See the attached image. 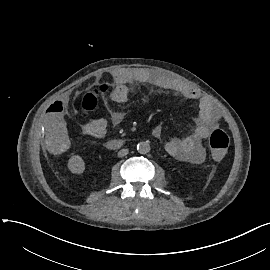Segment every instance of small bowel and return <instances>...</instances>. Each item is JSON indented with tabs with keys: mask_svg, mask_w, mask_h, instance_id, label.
Returning <instances> with one entry per match:
<instances>
[{
	"mask_svg": "<svg viewBox=\"0 0 270 270\" xmlns=\"http://www.w3.org/2000/svg\"><path fill=\"white\" fill-rule=\"evenodd\" d=\"M114 86L109 98L119 104L127 101L129 96L128 85L133 82L148 84L156 88L169 90L180 94L189 100L198 101L199 113L196 120V128L189 135L182 138H173L166 144V150L172 156L185 159L192 164L199 165L205 161L206 151L202 141L209 135L217 124L219 116L210 101L200 97L199 93L170 78L162 72L148 68H127L116 72L113 76ZM67 112L63 105L55 103L48 107L45 115L47 134L51 141L46 145L45 151L49 158L57 160L64 156L69 146L66 138L68 125L66 122ZM123 115L118 111L111 112V125L121 124ZM86 134L95 138L106 136L110 129L109 123L102 117H94L82 123ZM153 136H162V127L156 126Z\"/></svg>",
	"mask_w": 270,
	"mask_h": 270,
	"instance_id": "1",
	"label": "small bowel"
}]
</instances>
